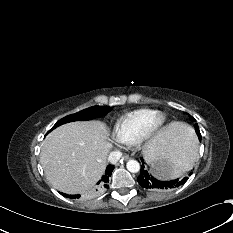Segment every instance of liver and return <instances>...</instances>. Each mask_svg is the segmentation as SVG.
I'll list each match as a JSON object with an SVG mask.
<instances>
[{
  "label": "liver",
  "instance_id": "liver-1",
  "mask_svg": "<svg viewBox=\"0 0 233 233\" xmlns=\"http://www.w3.org/2000/svg\"><path fill=\"white\" fill-rule=\"evenodd\" d=\"M182 123L164 127L146 145L147 161L172 156ZM106 125L100 121L72 122L53 130L43 141L40 162L48 181L59 191L79 194L92 188L106 169L112 147Z\"/></svg>",
  "mask_w": 233,
  "mask_h": 233
}]
</instances>
